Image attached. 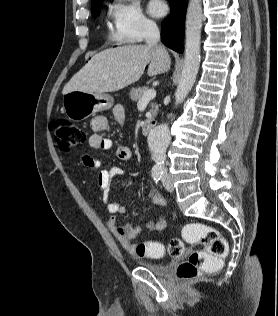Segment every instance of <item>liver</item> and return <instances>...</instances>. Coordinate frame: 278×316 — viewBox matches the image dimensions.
I'll return each instance as SVG.
<instances>
[{
    "label": "liver",
    "instance_id": "6515ba94",
    "mask_svg": "<svg viewBox=\"0 0 278 316\" xmlns=\"http://www.w3.org/2000/svg\"><path fill=\"white\" fill-rule=\"evenodd\" d=\"M171 59L159 46L127 45L106 49L94 55L64 86L63 94L72 91L85 93L114 92L135 83L148 65V76L165 73Z\"/></svg>",
    "mask_w": 278,
    "mask_h": 316
}]
</instances>
